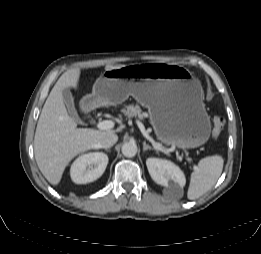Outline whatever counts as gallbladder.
<instances>
[{
    "mask_svg": "<svg viewBox=\"0 0 261 254\" xmlns=\"http://www.w3.org/2000/svg\"><path fill=\"white\" fill-rule=\"evenodd\" d=\"M62 95H63V99H64V102L66 103L67 105V108L69 110V113L70 115L76 120V121H80V118L77 114V111L75 109V106H74V98L72 96V93L70 92L69 89H64L62 91Z\"/></svg>",
    "mask_w": 261,
    "mask_h": 254,
    "instance_id": "bac80fb5",
    "label": "gallbladder"
}]
</instances>
